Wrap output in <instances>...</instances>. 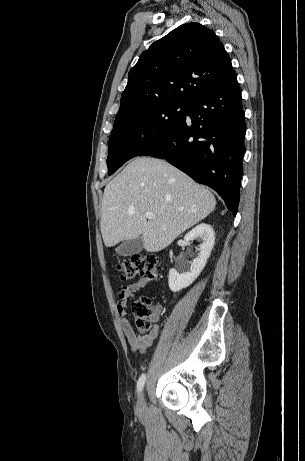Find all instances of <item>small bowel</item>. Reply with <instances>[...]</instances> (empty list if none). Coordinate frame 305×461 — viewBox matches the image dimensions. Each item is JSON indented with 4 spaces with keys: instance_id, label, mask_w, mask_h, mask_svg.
I'll return each mask as SVG.
<instances>
[{
    "instance_id": "obj_1",
    "label": "small bowel",
    "mask_w": 305,
    "mask_h": 461,
    "mask_svg": "<svg viewBox=\"0 0 305 461\" xmlns=\"http://www.w3.org/2000/svg\"><path fill=\"white\" fill-rule=\"evenodd\" d=\"M153 281L147 278H141L137 281H134L130 284H127L120 288L118 291V302H117V312L121 319V325L123 332L128 340V343L131 347L132 352L144 354L147 352L148 348L154 343L157 334H158V320L161 314V307L155 306L153 308V327L149 334L140 335L137 334L127 316V308L130 300L134 297L135 293L140 289L147 287Z\"/></svg>"
}]
</instances>
